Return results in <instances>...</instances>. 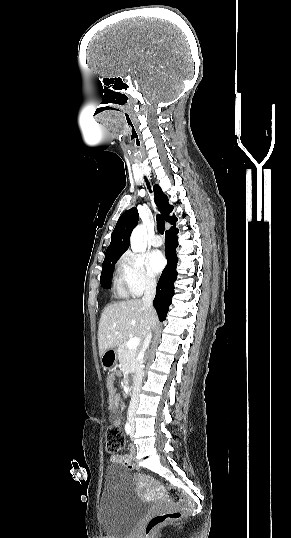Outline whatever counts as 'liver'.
<instances>
[{"label":"liver","mask_w":291,"mask_h":538,"mask_svg":"<svg viewBox=\"0 0 291 538\" xmlns=\"http://www.w3.org/2000/svg\"><path fill=\"white\" fill-rule=\"evenodd\" d=\"M156 319V312L144 306L140 299L108 304L101 314L98 327L99 355L120 345L130 336L144 340Z\"/></svg>","instance_id":"obj_1"}]
</instances>
